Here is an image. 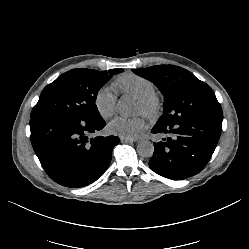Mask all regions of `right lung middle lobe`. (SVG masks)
Masks as SVG:
<instances>
[{
	"mask_svg": "<svg viewBox=\"0 0 249 249\" xmlns=\"http://www.w3.org/2000/svg\"><path fill=\"white\" fill-rule=\"evenodd\" d=\"M123 71L73 69L62 74L43 89L30 118L58 114L85 121L102 119L95 104L98 91L112 75Z\"/></svg>",
	"mask_w": 249,
	"mask_h": 249,
	"instance_id": "1",
	"label": "right lung middle lobe"
}]
</instances>
